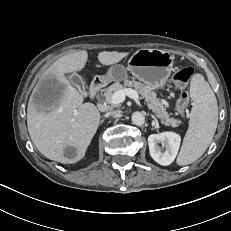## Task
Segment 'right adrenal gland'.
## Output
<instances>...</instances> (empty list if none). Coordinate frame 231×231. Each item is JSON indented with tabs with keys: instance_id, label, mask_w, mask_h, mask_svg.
Masks as SVG:
<instances>
[{
	"instance_id": "right-adrenal-gland-1",
	"label": "right adrenal gland",
	"mask_w": 231,
	"mask_h": 231,
	"mask_svg": "<svg viewBox=\"0 0 231 231\" xmlns=\"http://www.w3.org/2000/svg\"><path fill=\"white\" fill-rule=\"evenodd\" d=\"M103 122H104V119L101 120L100 125H102Z\"/></svg>"
}]
</instances>
